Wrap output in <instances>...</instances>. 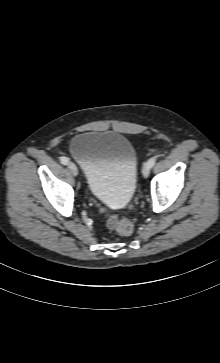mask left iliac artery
<instances>
[{
  "label": "left iliac artery",
  "instance_id": "1",
  "mask_svg": "<svg viewBox=\"0 0 220 363\" xmlns=\"http://www.w3.org/2000/svg\"><path fill=\"white\" fill-rule=\"evenodd\" d=\"M156 158H157V157H153V158H151V159H149V160L147 161V164H148V166H149L150 168H152V167L155 165V163H156Z\"/></svg>",
  "mask_w": 220,
  "mask_h": 363
}]
</instances>
